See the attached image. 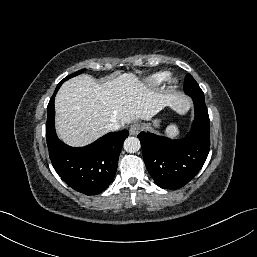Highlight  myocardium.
<instances>
[{
	"label": "myocardium",
	"mask_w": 257,
	"mask_h": 257,
	"mask_svg": "<svg viewBox=\"0 0 257 257\" xmlns=\"http://www.w3.org/2000/svg\"><path fill=\"white\" fill-rule=\"evenodd\" d=\"M167 83L170 85V86H174L175 84L178 83V79L174 76H169L167 78Z\"/></svg>",
	"instance_id": "obj_1"
}]
</instances>
